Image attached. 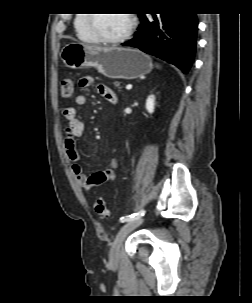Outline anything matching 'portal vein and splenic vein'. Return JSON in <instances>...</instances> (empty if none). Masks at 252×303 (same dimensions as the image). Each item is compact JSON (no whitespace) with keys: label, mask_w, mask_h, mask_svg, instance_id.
<instances>
[{"label":"portal vein and splenic vein","mask_w":252,"mask_h":303,"mask_svg":"<svg viewBox=\"0 0 252 303\" xmlns=\"http://www.w3.org/2000/svg\"><path fill=\"white\" fill-rule=\"evenodd\" d=\"M126 89H127V90L132 89V85H127V86H126Z\"/></svg>","instance_id":"18ae733b"}]
</instances>
